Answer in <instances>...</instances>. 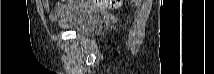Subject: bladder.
<instances>
[{
    "mask_svg": "<svg viewBox=\"0 0 214 74\" xmlns=\"http://www.w3.org/2000/svg\"><path fill=\"white\" fill-rule=\"evenodd\" d=\"M72 9H75L71 11ZM68 10L59 21L63 28L77 33L90 32L99 22L100 13L90 8H72Z\"/></svg>",
    "mask_w": 214,
    "mask_h": 74,
    "instance_id": "1",
    "label": "bladder"
}]
</instances>
